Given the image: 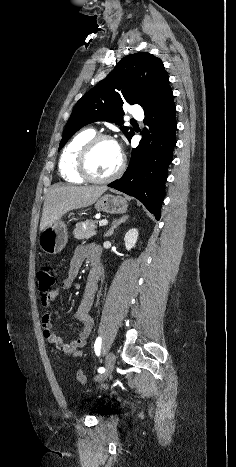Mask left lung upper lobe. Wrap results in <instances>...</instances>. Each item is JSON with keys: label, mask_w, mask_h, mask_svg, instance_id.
Listing matches in <instances>:
<instances>
[{"label": "left lung upper lobe", "mask_w": 236, "mask_h": 467, "mask_svg": "<svg viewBox=\"0 0 236 467\" xmlns=\"http://www.w3.org/2000/svg\"><path fill=\"white\" fill-rule=\"evenodd\" d=\"M168 74L161 59L149 53L124 57L113 72L87 92L75 105L66 124L59 150L79 129L95 121L123 124V103L139 104L147 111L169 88ZM150 94V96L148 94ZM128 140L132 128L121 126Z\"/></svg>", "instance_id": "obj_1"}]
</instances>
